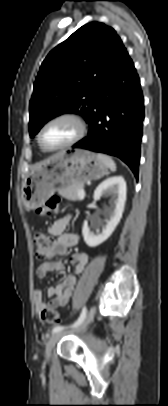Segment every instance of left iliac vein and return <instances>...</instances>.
<instances>
[{"mask_svg":"<svg viewBox=\"0 0 168 406\" xmlns=\"http://www.w3.org/2000/svg\"><path fill=\"white\" fill-rule=\"evenodd\" d=\"M95 311H96L95 306H92L91 309L89 310L86 318L84 319V321L76 328L75 331L84 330L89 325V323L93 320ZM63 334H64V332H62V331L56 332L51 336V338L47 342L46 349H45V357L47 360L50 359L51 353H52V350H53L55 344L63 336Z\"/></svg>","mask_w":168,"mask_h":406,"instance_id":"1","label":"left iliac vein"}]
</instances>
